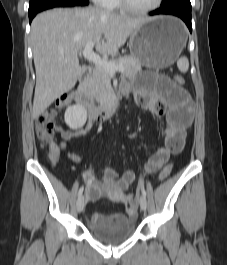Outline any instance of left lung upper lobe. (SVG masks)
<instances>
[{"label": "left lung upper lobe", "instance_id": "obj_1", "mask_svg": "<svg viewBox=\"0 0 227 265\" xmlns=\"http://www.w3.org/2000/svg\"><path fill=\"white\" fill-rule=\"evenodd\" d=\"M160 9H188L191 10L190 0H163Z\"/></svg>", "mask_w": 227, "mask_h": 265}]
</instances>
